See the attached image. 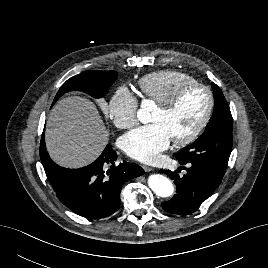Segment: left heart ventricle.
Masks as SVG:
<instances>
[{"label":"left heart ventricle","instance_id":"1","mask_svg":"<svg viewBox=\"0 0 268 268\" xmlns=\"http://www.w3.org/2000/svg\"><path fill=\"white\" fill-rule=\"evenodd\" d=\"M208 103L205 90L193 88L186 91L177 106L169 113L158 107L153 111L151 122L162 124L171 139L188 135L202 119Z\"/></svg>","mask_w":268,"mask_h":268}]
</instances>
